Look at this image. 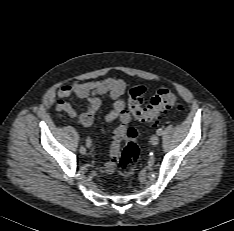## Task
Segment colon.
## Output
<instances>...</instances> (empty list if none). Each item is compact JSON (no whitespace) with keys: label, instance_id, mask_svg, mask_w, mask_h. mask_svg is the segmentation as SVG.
<instances>
[{"label":"colon","instance_id":"obj_1","mask_svg":"<svg viewBox=\"0 0 234 231\" xmlns=\"http://www.w3.org/2000/svg\"><path fill=\"white\" fill-rule=\"evenodd\" d=\"M144 86H135L129 92L128 106L132 115L140 122H154L158 116L179 103L177 95L169 89H160L151 98L147 106L144 105ZM137 132L132 126L122 124L114 132L111 154L117 163L119 174L123 178L133 175L140 155V148L136 143ZM126 139L124 148L120 152V141Z\"/></svg>","mask_w":234,"mask_h":231}]
</instances>
